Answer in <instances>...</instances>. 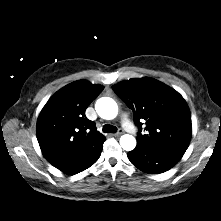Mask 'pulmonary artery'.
<instances>
[{"mask_svg": "<svg viewBox=\"0 0 221 221\" xmlns=\"http://www.w3.org/2000/svg\"><path fill=\"white\" fill-rule=\"evenodd\" d=\"M123 126L130 132H135V128L126 116L122 118Z\"/></svg>", "mask_w": 221, "mask_h": 221, "instance_id": "obj_1", "label": "pulmonary artery"}]
</instances>
